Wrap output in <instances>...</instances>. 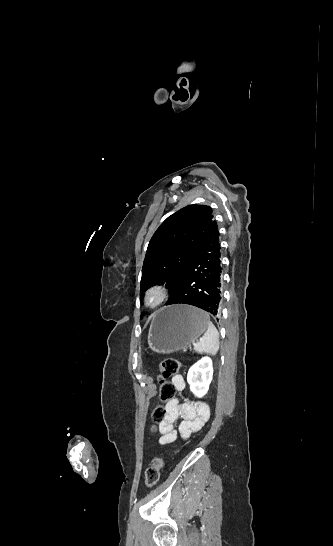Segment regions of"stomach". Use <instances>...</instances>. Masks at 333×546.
Instances as JSON below:
<instances>
[{
	"label": "stomach",
	"mask_w": 333,
	"mask_h": 546,
	"mask_svg": "<svg viewBox=\"0 0 333 546\" xmlns=\"http://www.w3.org/2000/svg\"><path fill=\"white\" fill-rule=\"evenodd\" d=\"M207 328L206 313L196 307L185 304L164 307L152 317L148 345L152 351L162 354L185 350Z\"/></svg>",
	"instance_id": "1"
}]
</instances>
